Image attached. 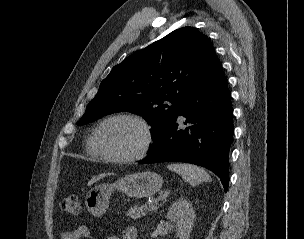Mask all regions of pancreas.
<instances>
[{"instance_id":"1","label":"pancreas","mask_w":304,"mask_h":239,"mask_svg":"<svg viewBox=\"0 0 304 239\" xmlns=\"http://www.w3.org/2000/svg\"><path fill=\"white\" fill-rule=\"evenodd\" d=\"M147 209V205H136L128 210L127 216L131 217L132 219H138L140 216L145 215Z\"/></svg>"}]
</instances>
